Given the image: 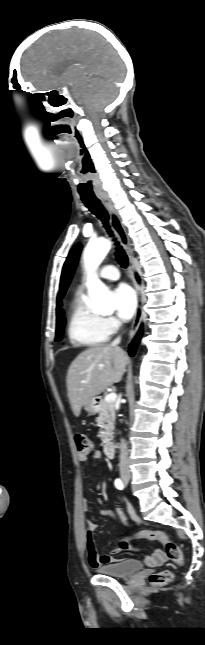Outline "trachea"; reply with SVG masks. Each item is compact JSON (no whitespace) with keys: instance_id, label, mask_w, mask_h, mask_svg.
I'll list each match as a JSON object with an SVG mask.
<instances>
[{"instance_id":"obj_1","label":"trachea","mask_w":205,"mask_h":645,"mask_svg":"<svg viewBox=\"0 0 205 645\" xmlns=\"http://www.w3.org/2000/svg\"><path fill=\"white\" fill-rule=\"evenodd\" d=\"M81 200L85 204V206L94 214L98 219H100L106 228L107 232L109 233L110 236L113 237V232L110 229L108 220L109 216L103 205L101 204L100 200L95 197V196H81ZM115 241L116 245V260L118 263L123 267L126 268L128 265V257L122 248V246L119 244L116 239H113Z\"/></svg>"}]
</instances>
